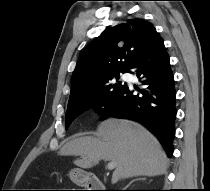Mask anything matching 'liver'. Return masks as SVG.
I'll use <instances>...</instances> for the list:
<instances>
[{
	"label": "liver",
	"instance_id": "obj_1",
	"mask_svg": "<svg viewBox=\"0 0 210 191\" xmlns=\"http://www.w3.org/2000/svg\"><path fill=\"white\" fill-rule=\"evenodd\" d=\"M96 136L74 138L60 154L81 156L74 164L85 169L101 160L116 162L113 183L135 176L162 175L167 170L168 159L160 143L136 122L108 119L98 126Z\"/></svg>",
	"mask_w": 210,
	"mask_h": 191
}]
</instances>
